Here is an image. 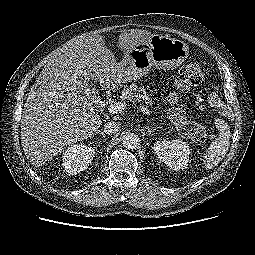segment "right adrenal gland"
Segmentation results:
<instances>
[{
  "label": "right adrenal gland",
  "instance_id": "1",
  "mask_svg": "<svg viewBox=\"0 0 255 255\" xmlns=\"http://www.w3.org/2000/svg\"><path fill=\"white\" fill-rule=\"evenodd\" d=\"M97 133H99V134H101L103 137H105V133H104L102 130H98Z\"/></svg>",
  "mask_w": 255,
  "mask_h": 255
}]
</instances>
